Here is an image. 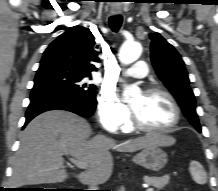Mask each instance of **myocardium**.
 <instances>
[{"label": "myocardium", "mask_w": 218, "mask_h": 191, "mask_svg": "<svg viewBox=\"0 0 218 191\" xmlns=\"http://www.w3.org/2000/svg\"><path fill=\"white\" fill-rule=\"evenodd\" d=\"M145 95H163L165 96L170 104L172 105V108L174 110V120L173 122L168 125L167 127L164 128H150L147 126H144L137 118L136 114L134 113L133 110H131V126L133 129L145 132V133H150V134H162V133H168L174 130L178 124L180 123L181 120V109L174 98V96L168 92L165 89L158 88V87H149L144 91Z\"/></svg>", "instance_id": "1"}]
</instances>
